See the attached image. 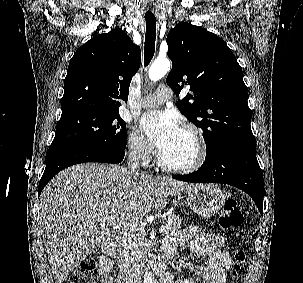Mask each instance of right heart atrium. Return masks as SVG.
<instances>
[{
    "label": "right heart atrium",
    "mask_w": 303,
    "mask_h": 283,
    "mask_svg": "<svg viewBox=\"0 0 303 283\" xmlns=\"http://www.w3.org/2000/svg\"><path fill=\"white\" fill-rule=\"evenodd\" d=\"M127 147L130 155L139 162H148L152 157L150 144L136 130L129 133Z\"/></svg>",
    "instance_id": "d8ad5b80"
}]
</instances>
